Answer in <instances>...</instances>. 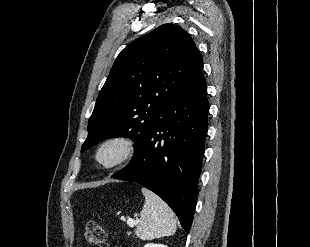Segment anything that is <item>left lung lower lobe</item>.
<instances>
[{
  "label": "left lung lower lobe",
  "instance_id": "0a47b994",
  "mask_svg": "<svg viewBox=\"0 0 310 247\" xmlns=\"http://www.w3.org/2000/svg\"><path fill=\"white\" fill-rule=\"evenodd\" d=\"M209 103L201 72L164 110L132 161L112 178L161 197L189 233L198 196Z\"/></svg>",
  "mask_w": 310,
  "mask_h": 247
}]
</instances>
